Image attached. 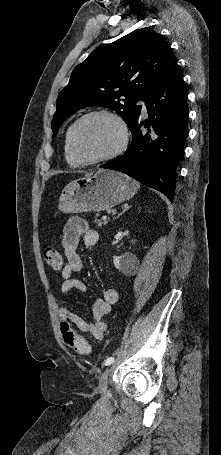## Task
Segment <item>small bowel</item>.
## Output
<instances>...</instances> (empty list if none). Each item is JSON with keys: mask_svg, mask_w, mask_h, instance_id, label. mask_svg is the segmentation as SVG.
Masks as SVG:
<instances>
[{"mask_svg": "<svg viewBox=\"0 0 221 455\" xmlns=\"http://www.w3.org/2000/svg\"><path fill=\"white\" fill-rule=\"evenodd\" d=\"M99 233L89 228L88 224L81 218H71L63 229L62 246L65 252V266L62 270V292L69 296L76 289L86 292V285L74 274L80 273L83 268V262L77 248L82 242L86 247L96 246L99 242ZM118 300V292L114 287H107L102 294L93 303L92 316L93 321H87L66 307L58 310L60 321L72 322L80 331L91 335L97 340L105 336L107 325L103 318L109 314L112 305Z\"/></svg>", "mask_w": 221, "mask_h": 455, "instance_id": "c3829d8e", "label": "small bowel"}]
</instances>
